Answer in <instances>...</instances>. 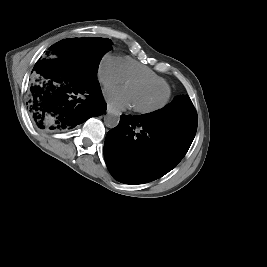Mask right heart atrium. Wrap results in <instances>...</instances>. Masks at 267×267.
I'll return each mask as SVG.
<instances>
[{
	"label": "right heart atrium",
	"instance_id": "d8ad5b80",
	"mask_svg": "<svg viewBox=\"0 0 267 267\" xmlns=\"http://www.w3.org/2000/svg\"><path fill=\"white\" fill-rule=\"evenodd\" d=\"M98 78L105 86L123 83L125 79L121 70V59L105 54L99 62Z\"/></svg>",
	"mask_w": 267,
	"mask_h": 267
}]
</instances>
